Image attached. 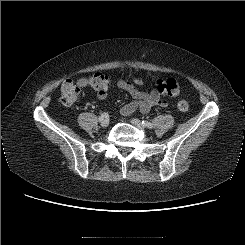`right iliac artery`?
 Here are the masks:
<instances>
[{
  "instance_id": "right-iliac-artery-1",
  "label": "right iliac artery",
  "mask_w": 245,
  "mask_h": 245,
  "mask_svg": "<svg viewBox=\"0 0 245 245\" xmlns=\"http://www.w3.org/2000/svg\"><path fill=\"white\" fill-rule=\"evenodd\" d=\"M108 117V113L104 112L100 115L99 121L101 122L102 120L106 119Z\"/></svg>"
}]
</instances>
